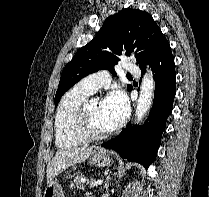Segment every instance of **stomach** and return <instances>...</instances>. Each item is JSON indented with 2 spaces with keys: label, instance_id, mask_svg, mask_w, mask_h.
Listing matches in <instances>:
<instances>
[{
  "label": "stomach",
  "instance_id": "1",
  "mask_svg": "<svg viewBox=\"0 0 209 197\" xmlns=\"http://www.w3.org/2000/svg\"><path fill=\"white\" fill-rule=\"evenodd\" d=\"M90 163L95 166L108 167L113 163L109 151L98 149L90 157ZM43 197H65L64 191L57 181H51L44 190Z\"/></svg>",
  "mask_w": 209,
  "mask_h": 197
}]
</instances>
